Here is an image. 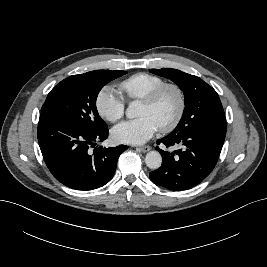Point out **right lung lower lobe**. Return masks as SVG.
<instances>
[{
    "instance_id": "98d812e1",
    "label": "right lung lower lobe",
    "mask_w": 267,
    "mask_h": 267,
    "mask_svg": "<svg viewBox=\"0 0 267 267\" xmlns=\"http://www.w3.org/2000/svg\"><path fill=\"white\" fill-rule=\"evenodd\" d=\"M108 133V128L93 132L48 113H41L38 123V142L48 169L59 182L76 190H93L112 179L128 146L90 150Z\"/></svg>"
}]
</instances>
